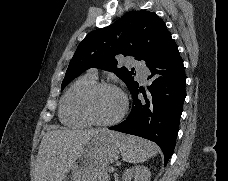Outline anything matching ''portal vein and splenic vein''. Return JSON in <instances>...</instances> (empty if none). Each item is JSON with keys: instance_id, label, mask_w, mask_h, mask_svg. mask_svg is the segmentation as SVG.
<instances>
[{"instance_id": "18ae733b", "label": "portal vein and splenic vein", "mask_w": 228, "mask_h": 181, "mask_svg": "<svg viewBox=\"0 0 228 181\" xmlns=\"http://www.w3.org/2000/svg\"><path fill=\"white\" fill-rule=\"evenodd\" d=\"M111 174H116L117 172V166H112V168L110 169Z\"/></svg>"}]
</instances>
